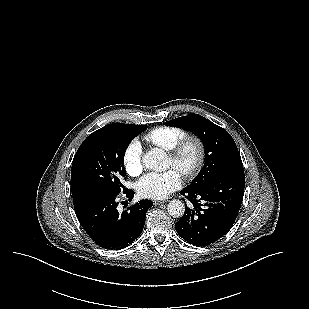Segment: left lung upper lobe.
I'll return each mask as SVG.
<instances>
[{"label":"left lung upper lobe","instance_id":"left-lung-upper-lobe-1","mask_svg":"<svg viewBox=\"0 0 309 309\" xmlns=\"http://www.w3.org/2000/svg\"><path fill=\"white\" fill-rule=\"evenodd\" d=\"M165 124L192 131L201 139L205 148V164L186 188L199 187L226 173L243 171L237 146L231 135L223 128L198 114H188Z\"/></svg>","mask_w":309,"mask_h":309}]
</instances>
